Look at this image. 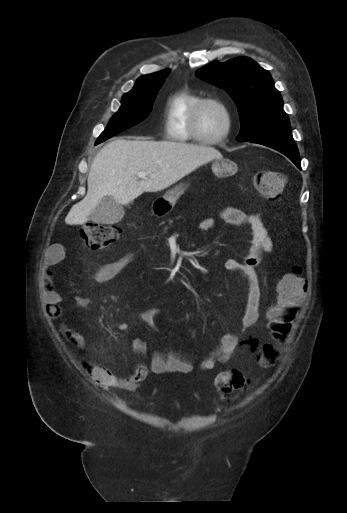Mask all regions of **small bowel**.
I'll return each mask as SVG.
<instances>
[{
  "instance_id": "small-bowel-1",
  "label": "small bowel",
  "mask_w": 347,
  "mask_h": 513,
  "mask_svg": "<svg viewBox=\"0 0 347 513\" xmlns=\"http://www.w3.org/2000/svg\"><path fill=\"white\" fill-rule=\"evenodd\" d=\"M219 218L226 224L240 230H248L251 234L250 248L242 260H229L224 263V268L237 273L246 283L247 295L244 311L240 319V326L236 332L222 335L218 345L210 350L201 362L203 370H212L218 363L229 362L236 353L248 349L251 345V338L248 336L249 329L254 326L259 318V280L256 267L262 262L263 256L272 251V241L268 231L258 214H245L240 209L225 207L219 212ZM215 219L208 217L203 219L199 228L203 231H210L215 227ZM62 247L60 244L51 246L49 253L44 258L38 277V286L47 312L53 318L62 315V296L54 287L52 268L60 262ZM136 256L128 253L123 257L102 265L94 274L98 283L107 282L115 278L123 270L134 264ZM80 308L88 305L87 299L81 298L76 301ZM160 307H152L143 313L140 318L151 328L156 329V319L161 314ZM62 331L78 347L85 348L86 342L82 335L74 330L62 326ZM132 348L137 356H144L147 353V343L141 338L132 341ZM84 368L90 377L101 385L108 387H123L135 389L137 384L143 381L149 372L154 374L164 373H188L192 371L193 365L190 360L180 354L166 350L155 352L152 355L150 364H136L132 374L126 379H119L108 369L98 365L84 364Z\"/></svg>"
}]
</instances>
